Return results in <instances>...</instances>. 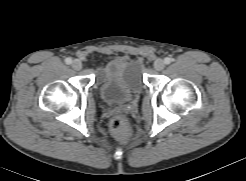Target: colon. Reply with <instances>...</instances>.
I'll return each instance as SVG.
<instances>
[{
    "instance_id": "obj_1",
    "label": "colon",
    "mask_w": 246,
    "mask_h": 181,
    "mask_svg": "<svg viewBox=\"0 0 246 181\" xmlns=\"http://www.w3.org/2000/svg\"><path fill=\"white\" fill-rule=\"evenodd\" d=\"M110 129L115 136L125 138L130 134L131 127L124 116L118 115L111 119Z\"/></svg>"
}]
</instances>
